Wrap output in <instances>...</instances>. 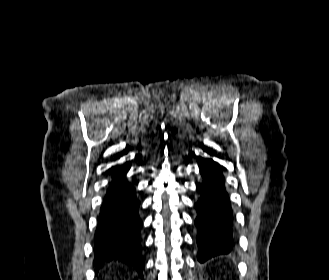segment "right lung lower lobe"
<instances>
[{"label": "right lung lower lobe", "mask_w": 329, "mask_h": 280, "mask_svg": "<svg viewBox=\"0 0 329 280\" xmlns=\"http://www.w3.org/2000/svg\"><path fill=\"white\" fill-rule=\"evenodd\" d=\"M127 168H112V181L100 211L95 234L94 265L120 261L136 268L143 277L144 260L141 256L139 202L130 183L125 181Z\"/></svg>", "instance_id": "obj_1"}]
</instances>
